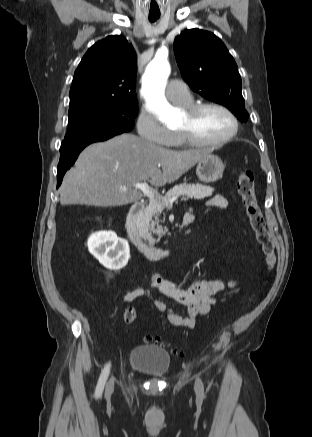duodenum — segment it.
<instances>
[{"mask_svg": "<svg viewBox=\"0 0 312 437\" xmlns=\"http://www.w3.org/2000/svg\"><path fill=\"white\" fill-rule=\"evenodd\" d=\"M145 209V202H135L128 212L124 221V236L125 239L146 259L153 262H160L167 259L174 251L173 247H158L145 241L137 231L138 221ZM192 222L190 217L186 215L182 221V227L189 225Z\"/></svg>", "mask_w": 312, "mask_h": 437, "instance_id": "obj_1", "label": "duodenum"}]
</instances>
